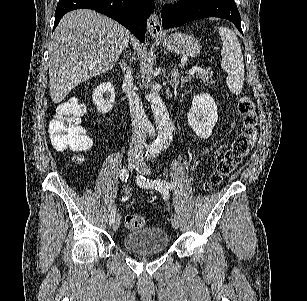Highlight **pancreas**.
<instances>
[{
	"label": "pancreas",
	"mask_w": 307,
	"mask_h": 301,
	"mask_svg": "<svg viewBox=\"0 0 307 301\" xmlns=\"http://www.w3.org/2000/svg\"><path fill=\"white\" fill-rule=\"evenodd\" d=\"M191 76H196V78H200L204 84H215L216 80L212 78L213 72L209 70V68H202V70H198V72H194ZM190 76V78H191Z\"/></svg>",
	"instance_id": "pancreas-1"
}]
</instances>
